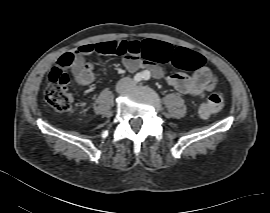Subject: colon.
<instances>
[{
  "mask_svg": "<svg viewBox=\"0 0 270 213\" xmlns=\"http://www.w3.org/2000/svg\"><path fill=\"white\" fill-rule=\"evenodd\" d=\"M105 54L125 55L130 54L137 57L147 58L150 52L149 47L140 45L137 41L115 40L106 42L102 46ZM73 53L66 52L58 62L47 73V87L45 90L46 104L56 112L67 113L70 111L74 94L69 89L70 78L66 72L68 61ZM183 58L178 56L174 59L175 65H180ZM187 62L191 67H201L203 58L196 53H188ZM224 97L221 93H215L206 98L199 108V114L203 118L210 117L224 108Z\"/></svg>",
  "mask_w": 270,
  "mask_h": 213,
  "instance_id": "5ec220e1",
  "label": "colon"
}]
</instances>
